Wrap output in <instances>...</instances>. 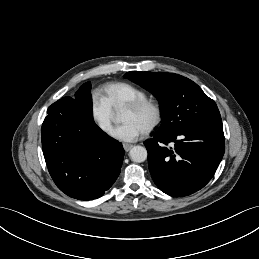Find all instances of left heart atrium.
Listing matches in <instances>:
<instances>
[{
	"mask_svg": "<svg viewBox=\"0 0 259 259\" xmlns=\"http://www.w3.org/2000/svg\"><path fill=\"white\" fill-rule=\"evenodd\" d=\"M142 133V130L131 121H124L111 132V135L122 141H134Z\"/></svg>",
	"mask_w": 259,
	"mask_h": 259,
	"instance_id": "obj_1",
	"label": "left heart atrium"
}]
</instances>
